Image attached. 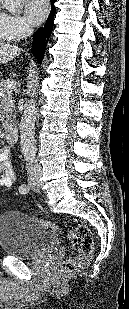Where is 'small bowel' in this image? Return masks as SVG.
<instances>
[{
  "label": "small bowel",
  "instance_id": "small-bowel-1",
  "mask_svg": "<svg viewBox=\"0 0 129 309\" xmlns=\"http://www.w3.org/2000/svg\"><path fill=\"white\" fill-rule=\"evenodd\" d=\"M16 179L13 169L10 152L6 148L0 149V187H10Z\"/></svg>",
  "mask_w": 129,
  "mask_h": 309
}]
</instances>
